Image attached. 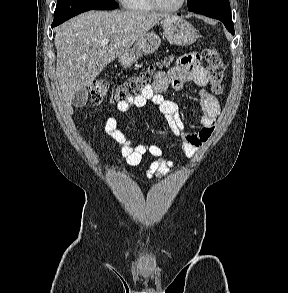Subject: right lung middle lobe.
I'll return each instance as SVG.
<instances>
[{
	"label": "right lung middle lobe",
	"instance_id": "1",
	"mask_svg": "<svg viewBox=\"0 0 288 293\" xmlns=\"http://www.w3.org/2000/svg\"><path fill=\"white\" fill-rule=\"evenodd\" d=\"M117 7L118 4L115 0H58L53 24L59 25L85 11L115 9Z\"/></svg>",
	"mask_w": 288,
	"mask_h": 293
}]
</instances>
